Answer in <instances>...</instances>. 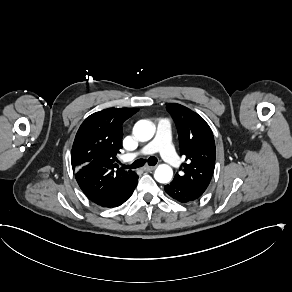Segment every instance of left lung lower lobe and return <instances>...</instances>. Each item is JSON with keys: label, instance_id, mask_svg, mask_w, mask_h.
<instances>
[{"label": "left lung lower lobe", "instance_id": "obj_1", "mask_svg": "<svg viewBox=\"0 0 292 292\" xmlns=\"http://www.w3.org/2000/svg\"><path fill=\"white\" fill-rule=\"evenodd\" d=\"M165 192L172 197L173 199L181 202L188 203L195 200H198L203 194L200 191L189 189L182 185H179L172 181L170 184L165 186Z\"/></svg>", "mask_w": 292, "mask_h": 292}]
</instances>
